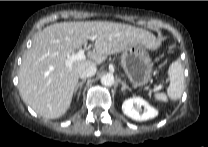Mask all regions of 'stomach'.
Here are the masks:
<instances>
[{"label":"stomach","mask_w":208,"mask_h":147,"mask_svg":"<svg viewBox=\"0 0 208 147\" xmlns=\"http://www.w3.org/2000/svg\"><path fill=\"white\" fill-rule=\"evenodd\" d=\"M121 65L133 86L142 87L152 76V62L142 45H133L126 49L121 56Z\"/></svg>","instance_id":"obj_1"}]
</instances>
